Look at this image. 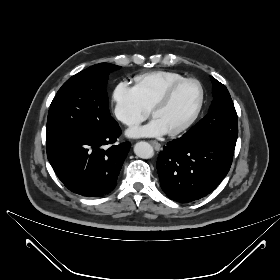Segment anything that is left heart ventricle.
I'll list each match as a JSON object with an SVG mask.
<instances>
[{
  "label": "left heart ventricle",
  "instance_id": "obj_1",
  "mask_svg": "<svg viewBox=\"0 0 280 280\" xmlns=\"http://www.w3.org/2000/svg\"><path fill=\"white\" fill-rule=\"evenodd\" d=\"M199 98V88L195 83L179 86L169 101L157 109L153 118L166 131L174 130L183 125L192 115Z\"/></svg>",
  "mask_w": 280,
  "mask_h": 280
}]
</instances>
